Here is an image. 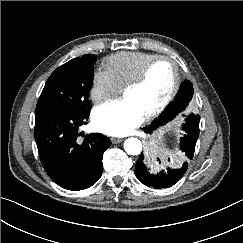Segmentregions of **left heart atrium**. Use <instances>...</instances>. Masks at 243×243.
I'll return each instance as SVG.
<instances>
[{
  "label": "left heart atrium",
  "instance_id": "39dd6f15",
  "mask_svg": "<svg viewBox=\"0 0 243 243\" xmlns=\"http://www.w3.org/2000/svg\"><path fill=\"white\" fill-rule=\"evenodd\" d=\"M144 119L141 110L126 98L96 108L92 116L98 131L115 137L132 133Z\"/></svg>",
  "mask_w": 243,
  "mask_h": 243
}]
</instances>
